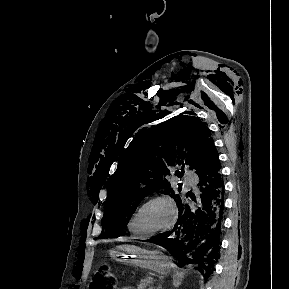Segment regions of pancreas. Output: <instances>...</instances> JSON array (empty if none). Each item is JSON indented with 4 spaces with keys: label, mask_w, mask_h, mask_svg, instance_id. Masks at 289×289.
Wrapping results in <instances>:
<instances>
[{
    "label": "pancreas",
    "mask_w": 289,
    "mask_h": 289,
    "mask_svg": "<svg viewBox=\"0 0 289 289\" xmlns=\"http://www.w3.org/2000/svg\"><path fill=\"white\" fill-rule=\"evenodd\" d=\"M151 283L149 277L142 279L138 285L137 289H151Z\"/></svg>",
    "instance_id": "1"
}]
</instances>
